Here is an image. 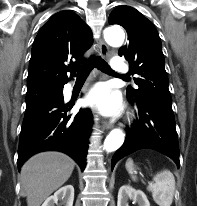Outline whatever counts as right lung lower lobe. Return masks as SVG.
Returning <instances> with one entry per match:
<instances>
[{
	"label": "right lung lower lobe",
	"mask_w": 197,
	"mask_h": 206,
	"mask_svg": "<svg viewBox=\"0 0 197 206\" xmlns=\"http://www.w3.org/2000/svg\"><path fill=\"white\" fill-rule=\"evenodd\" d=\"M72 106L64 102L62 89L58 97L26 109L19 139L18 168L35 153L55 150L68 154L84 170L92 113L86 108L69 114Z\"/></svg>",
	"instance_id": "1"
}]
</instances>
